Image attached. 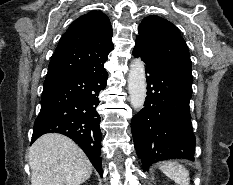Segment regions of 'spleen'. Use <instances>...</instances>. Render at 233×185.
<instances>
[{
	"label": "spleen",
	"mask_w": 233,
	"mask_h": 185,
	"mask_svg": "<svg viewBox=\"0 0 233 185\" xmlns=\"http://www.w3.org/2000/svg\"><path fill=\"white\" fill-rule=\"evenodd\" d=\"M160 170L178 185H189V172L177 162H163L159 166Z\"/></svg>",
	"instance_id": "spleen-1"
}]
</instances>
